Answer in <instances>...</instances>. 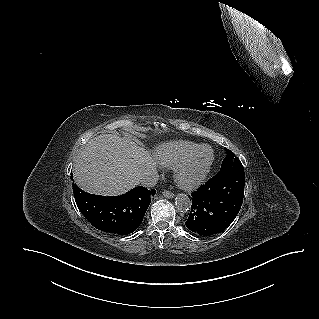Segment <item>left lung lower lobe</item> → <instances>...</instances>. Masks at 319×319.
I'll return each mask as SVG.
<instances>
[{"label":"left lung lower lobe","mask_w":319,"mask_h":319,"mask_svg":"<svg viewBox=\"0 0 319 319\" xmlns=\"http://www.w3.org/2000/svg\"><path fill=\"white\" fill-rule=\"evenodd\" d=\"M244 182V172H220L193 192L187 228L203 236L224 231L241 208Z\"/></svg>","instance_id":"obj_1"}]
</instances>
